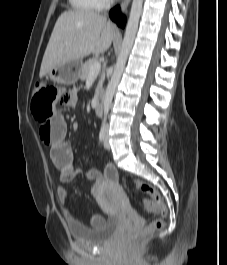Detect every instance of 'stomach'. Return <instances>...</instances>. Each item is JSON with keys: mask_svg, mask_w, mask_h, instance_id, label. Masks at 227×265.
Segmentation results:
<instances>
[{"mask_svg": "<svg viewBox=\"0 0 227 265\" xmlns=\"http://www.w3.org/2000/svg\"><path fill=\"white\" fill-rule=\"evenodd\" d=\"M81 68V60L70 61L49 71L48 77L51 81L60 85H73L80 78Z\"/></svg>", "mask_w": 227, "mask_h": 265, "instance_id": "stomach-1", "label": "stomach"}]
</instances>
